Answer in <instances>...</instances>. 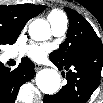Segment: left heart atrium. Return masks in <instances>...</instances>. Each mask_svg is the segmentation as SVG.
Segmentation results:
<instances>
[{"mask_svg":"<svg viewBox=\"0 0 103 103\" xmlns=\"http://www.w3.org/2000/svg\"><path fill=\"white\" fill-rule=\"evenodd\" d=\"M27 54L30 58L35 61H40L46 56V48L39 45H31L26 49Z\"/></svg>","mask_w":103,"mask_h":103,"instance_id":"1","label":"left heart atrium"}]
</instances>
